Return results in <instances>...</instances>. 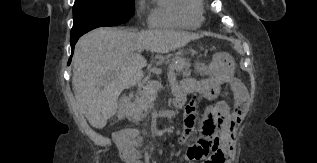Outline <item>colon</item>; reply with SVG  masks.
I'll return each instance as SVG.
<instances>
[{"instance_id":"5ec220e1","label":"colon","mask_w":317,"mask_h":163,"mask_svg":"<svg viewBox=\"0 0 317 163\" xmlns=\"http://www.w3.org/2000/svg\"><path fill=\"white\" fill-rule=\"evenodd\" d=\"M233 90L235 93L236 104L242 103L245 99L248 100V94L245 87L237 82L234 81L233 83ZM222 114V104H218L215 108H211L206 110L202 122L203 128L208 132H213L216 130L218 126V120Z\"/></svg>"}]
</instances>
